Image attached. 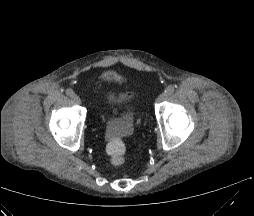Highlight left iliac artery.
I'll list each match as a JSON object with an SVG mask.
<instances>
[{
	"label": "left iliac artery",
	"instance_id": "1",
	"mask_svg": "<svg viewBox=\"0 0 254 216\" xmlns=\"http://www.w3.org/2000/svg\"><path fill=\"white\" fill-rule=\"evenodd\" d=\"M174 91H175V87L172 86V85H170V86H168V87L166 88L165 93H166L167 95H171V94L174 93Z\"/></svg>",
	"mask_w": 254,
	"mask_h": 216
}]
</instances>
